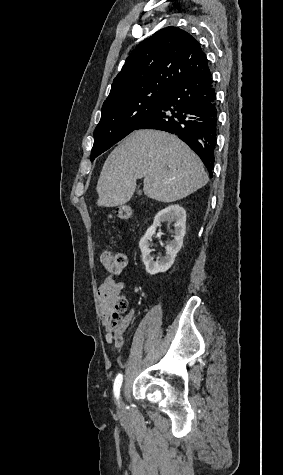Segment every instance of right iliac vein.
I'll list each match as a JSON object with an SVG mask.
<instances>
[{"instance_id": "obj_1", "label": "right iliac vein", "mask_w": 283, "mask_h": 475, "mask_svg": "<svg viewBox=\"0 0 283 475\" xmlns=\"http://www.w3.org/2000/svg\"><path fill=\"white\" fill-rule=\"evenodd\" d=\"M123 408H122V404L120 405V414H123Z\"/></svg>"}]
</instances>
